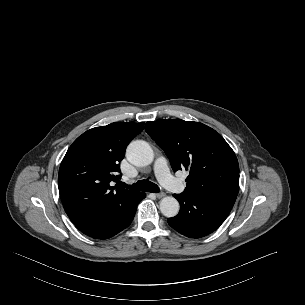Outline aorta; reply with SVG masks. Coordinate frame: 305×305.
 <instances>
[{
    "label": "aorta",
    "instance_id": "1",
    "mask_svg": "<svg viewBox=\"0 0 305 305\" xmlns=\"http://www.w3.org/2000/svg\"><path fill=\"white\" fill-rule=\"evenodd\" d=\"M126 157L136 166H146L152 163L154 153L151 146L143 140L132 141L126 151ZM160 211L166 217H174L179 212V202L171 196H166L160 201Z\"/></svg>",
    "mask_w": 305,
    "mask_h": 305
}]
</instances>
